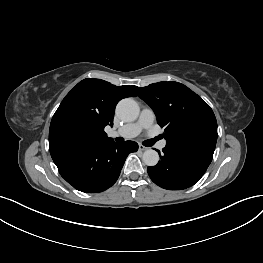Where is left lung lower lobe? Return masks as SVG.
Listing matches in <instances>:
<instances>
[{
    "instance_id": "left-lung-lower-lobe-1",
    "label": "left lung lower lobe",
    "mask_w": 263,
    "mask_h": 263,
    "mask_svg": "<svg viewBox=\"0 0 263 263\" xmlns=\"http://www.w3.org/2000/svg\"><path fill=\"white\" fill-rule=\"evenodd\" d=\"M163 153L158 164L148 167L147 171L155 184L169 190L186 189L197 183L212 160L167 147Z\"/></svg>"
}]
</instances>
